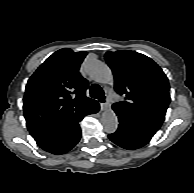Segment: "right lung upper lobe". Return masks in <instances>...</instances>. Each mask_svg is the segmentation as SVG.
Returning a JSON list of instances; mask_svg holds the SVG:
<instances>
[{
  "mask_svg": "<svg viewBox=\"0 0 194 193\" xmlns=\"http://www.w3.org/2000/svg\"><path fill=\"white\" fill-rule=\"evenodd\" d=\"M86 54L60 49L30 77L23 99L29 131L61 122L97 102L85 96L88 82L79 73Z\"/></svg>",
  "mask_w": 194,
  "mask_h": 193,
  "instance_id": "obj_1",
  "label": "right lung upper lobe"
}]
</instances>
